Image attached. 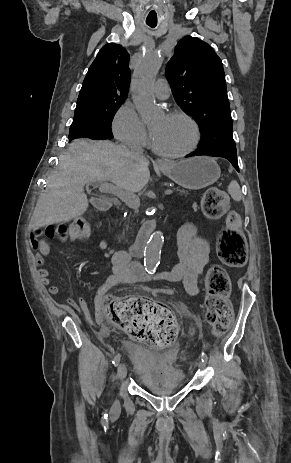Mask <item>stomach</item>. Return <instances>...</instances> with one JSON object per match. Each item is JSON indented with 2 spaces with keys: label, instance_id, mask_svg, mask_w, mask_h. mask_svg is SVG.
Returning a JSON list of instances; mask_svg holds the SVG:
<instances>
[{
  "label": "stomach",
  "instance_id": "obj_1",
  "mask_svg": "<svg viewBox=\"0 0 291 463\" xmlns=\"http://www.w3.org/2000/svg\"><path fill=\"white\" fill-rule=\"evenodd\" d=\"M161 171L178 185L191 190L212 185L221 174L218 164L207 156L167 162L161 166Z\"/></svg>",
  "mask_w": 291,
  "mask_h": 463
}]
</instances>
